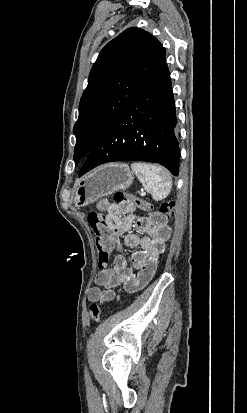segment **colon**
Segmentation results:
<instances>
[{
  "label": "colon",
  "instance_id": "1",
  "mask_svg": "<svg viewBox=\"0 0 247 413\" xmlns=\"http://www.w3.org/2000/svg\"><path fill=\"white\" fill-rule=\"evenodd\" d=\"M114 199L121 203L123 200H127L129 204L133 207H143L146 209H151L152 205L142 201L137 198L136 195H127L123 191H117L114 194ZM175 204L173 201H164L161 203L158 213L162 217H167L169 220L174 216ZM87 221L89 222V227L92 229L93 234L96 237V246L99 253V262L101 265H109L112 262L110 253L113 251V246L111 245V237L109 236V225L105 221L104 215L99 212H92L87 216ZM89 318L92 322L100 319L102 314V307L97 304H91L88 307Z\"/></svg>",
  "mask_w": 247,
  "mask_h": 413
}]
</instances>
